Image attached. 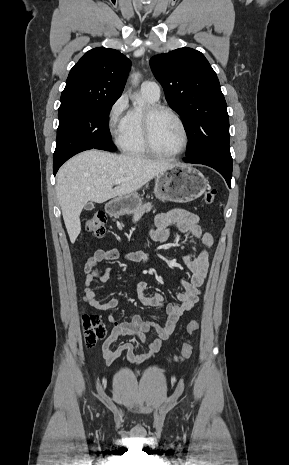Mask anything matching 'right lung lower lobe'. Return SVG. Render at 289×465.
<instances>
[{"mask_svg":"<svg viewBox=\"0 0 289 465\" xmlns=\"http://www.w3.org/2000/svg\"><path fill=\"white\" fill-rule=\"evenodd\" d=\"M66 160L63 161H58V162H53V173L54 175L58 171L59 167L65 162Z\"/></svg>","mask_w":289,"mask_h":465,"instance_id":"right-lung-lower-lobe-1","label":"right lung lower lobe"}]
</instances>
